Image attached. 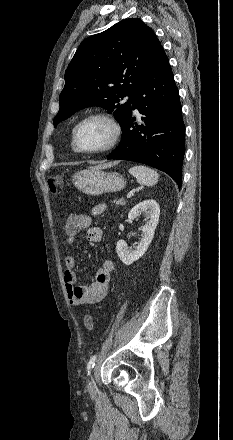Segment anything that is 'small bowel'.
<instances>
[{
	"instance_id": "c3829d8e",
	"label": "small bowel",
	"mask_w": 233,
	"mask_h": 440,
	"mask_svg": "<svg viewBox=\"0 0 233 440\" xmlns=\"http://www.w3.org/2000/svg\"><path fill=\"white\" fill-rule=\"evenodd\" d=\"M105 206H95L89 214H71L66 220L65 234L66 242L71 245L76 235L86 231L87 240L97 243L102 239V230L99 226L93 225V219L101 214ZM76 258L69 255L65 258L64 283L68 299L73 305L94 304L101 301L109 290L110 278L114 269L112 260L105 259L97 270L94 281L89 285H77Z\"/></svg>"
}]
</instances>
